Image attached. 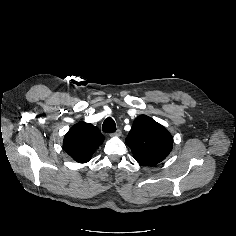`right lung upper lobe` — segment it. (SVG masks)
Here are the masks:
<instances>
[{
    "label": "right lung upper lobe",
    "mask_w": 236,
    "mask_h": 236,
    "mask_svg": "<svg viewBox=\"0 0 236 236\" xmlns=\"http://www.w3.org/2000/svg\"><path fill=\"white\" fill-rule=\"evenodd\" d=\"M104 136L100 130L85 122L75 124L64 137L63 149L78 163H86L102 144Z\"/></svg>",
    "instance_id": "right-lung-upper-lobe-1"
}]
</instances>
